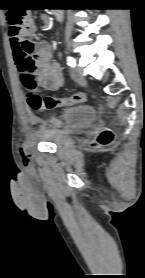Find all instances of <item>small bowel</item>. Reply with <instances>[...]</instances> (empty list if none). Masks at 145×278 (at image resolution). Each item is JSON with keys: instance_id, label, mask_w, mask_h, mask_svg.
Returning <instances> with one entry per match:
<instances>
[{"instance_id": "small-bowel-1", "label": "small bowel", "mask_w": 145, "mask_h": 278, "mask_svg": "<svg viewBox=\"0 0 145 278\" xmlns=\"http://www.w3.org/2000/svg\"><path fill=\"white\" fill-rule=\"evenodd\" d=\"M46 20L47 17L43 16ZM35 25L31 19V23L28 27V33L34 32ZM11 50L12 57L18 74L21 79L28 74H32L36 69L40 70V83L42 87L49 91H56L63 85V76L61 68L57 62L49 61V45L46 42H40L37 44L36 57H33L31 53L22 49L20 41L11 37ZM38 119L30 114V122L36 123Z\"/></svg>"}]
</instances>
